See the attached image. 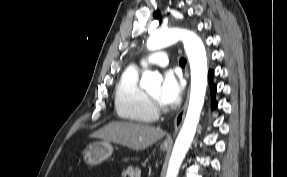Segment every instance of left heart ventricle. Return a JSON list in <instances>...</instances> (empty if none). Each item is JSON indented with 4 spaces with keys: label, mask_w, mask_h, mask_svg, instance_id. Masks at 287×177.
Instances as JSON below:
<instances>
[{
    "label": "left heart ventricle",
    "mask_w": 287,
    "mask_h": 177,
    "mask_svg": "<svg viewBox=\"0 0 287 177\" xmlns=\"http://www.w3.org/2000/svg\"><path fill=\"white\" fill-rule=\"evenodd\" d=\"M150 95H152L153 97H155L161 104H163L160 100V86H156L154 88H152L151 90H149L148 92ZM164 105V104H163Z\"/></svg>",
    "instance_id": "b2bd125f"
}]
</instances>
